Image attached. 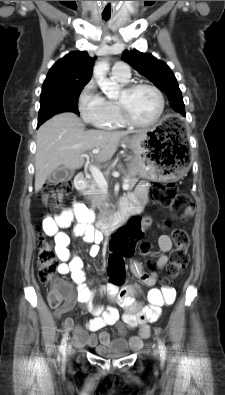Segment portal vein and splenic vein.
I'll list each match as a JSON object with an SVG mask.
<instances>
[{
    "label": "portal vein and splenic vein",
    "instance_id": "obj_1",
    "mask_svg": "<svg viewBox=\"0 0 225 395\" xmlns=\"http://www.w3.org/2000/svg\"><path fill=\"white\" fill-rule=\"evenodd\" d=\"M99 151H100V149H94V150H92V153H93V154H98ZM89 170H90V172H91V174H92V176H93V179H94L95 182L99 185V187H100L103 191H106V190H107V187H108V184H107V181H106V179L104 178V175L102 174V172H101L98 168H96L95 166H93V165H91V166L89 167ZM122 188H123L124 190H128V189H129V184H128L127 182H124L123 185H122Z\"/></svg>",
    "mask_w": 225,
    "mask_h": 395
}]
</instances>
